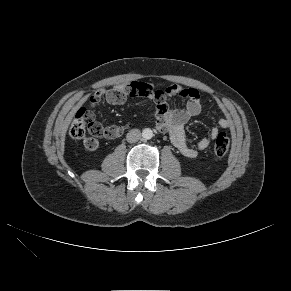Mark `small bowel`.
Returning <instances> with one entry per match:
<instances>
[{"mask_svg":"<svg viewBox=\"0 0 291 291\" xmlns=\"http://www.w3.org/2000/svg\"><path fill=\"white\" fill-rule=\"evenodd\" d=\"M174 96L185 98L186 104L183 108H171L168 99ZM105 97L107 103L111 105H123L130 98L142 97L156 105V128L160 132H167L172 144L186 158L197 156L198 150H204L210 145L208 137L201 138L196 147L188 144L185 133V124L203 109V102L199 91L195 88H186L173 84L165 89H156L142 82L120 83L107 90L97 91L91 98L92 105ZM230 126L227 118L218 121V127H214L210 132V138L214 139L219 128L225 129ZM114 127V126H112ZM84 145L89 150H94L98 146L96 139L89 138L84 141Z\"/></svg>","mask_w":291,"mask_h":291,"instance_id":"c3829d8e","label":"small bowel"}]
</instances>
